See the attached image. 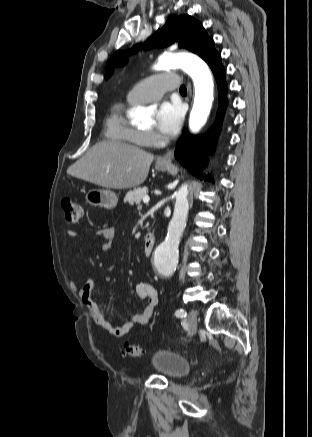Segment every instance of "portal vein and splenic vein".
<instances>
[{
	"mask_svg": "<svg viewBox=\"0 0 312 437\" xmlns=\"http://www.w3.org/2000/svg\"><path fill=\"white\" fill-rule=\"evenodd\" d=\"M149 200H150L149 196H145V197L143 198V202H144V203H148ZM139 208H141V207L139 206L138 209H139Z\"/></svg>",
	"mask_w": 312,
	"mask_h": 437,
	"instance_id": "18ae733b",
	"label": "portal vein and splenic vein"
}]
</instances>
